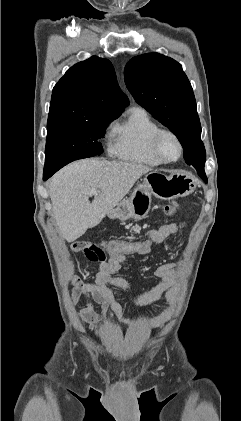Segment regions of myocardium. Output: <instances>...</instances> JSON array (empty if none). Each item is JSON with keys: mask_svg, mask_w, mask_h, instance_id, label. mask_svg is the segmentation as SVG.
Here are the masks:
<instances>
[{"mask_svg": "<svg viewBox=\"0 0 241 421\" xmlns=\"http://www.w3.org/2000/svg\"><path fill=\"white\" fill-rule=\"evenodd\" d=\"M165 136L172 137L178 145V148H179L178 155L173 159L165 158L162 151H161V141H162L163 137H165ZM152 149H153L154 154L157 156V158L162 163L176 162L177 160H179L181 158V156L183 154V151H184L183 143H182L180 137L174 131H172L170 129H159L155 133V135L152 139Z\"/></svg>", "mask_w": 241, "mask_h": 421, "instance_id": "myocardium-1", "label": "myocardium"}]
</instances>
